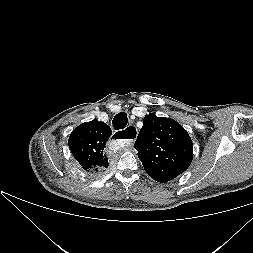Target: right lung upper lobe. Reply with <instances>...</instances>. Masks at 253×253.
<instances>
[{
    "label": "right lung upper lobe",
    "instance_id": "1",
    "mask_svg": "<svg viewBox=\"0 0 253 253\" xmlns=\"http://www.w3.org/2000/svg\"><path fill=\"white\" fill-rule=\"evenodd\" d=\"M111 134V128L98 120L83 123L72 131L68 145L83 169L98 172L108 167L104 147Z\"/></svg>",
    "mask_w": 253,
    "mask_h": 253
}]
</instances>
